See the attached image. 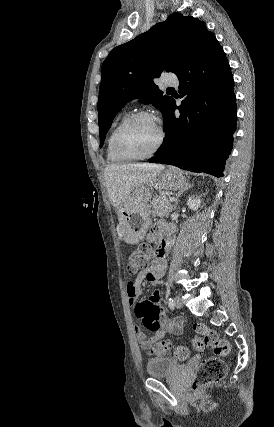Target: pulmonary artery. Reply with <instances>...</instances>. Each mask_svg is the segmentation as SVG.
Masks as SVG:
<instances>
[{
    "label": "pulmonary artery",
    "instance_id": "pulmonary-artery-1",
    "mask_svg": "<svg viewBox=\"0 0 274 427\" xmlns=\"http://www.w3.org/2000/svg\"><path fill=\"white\" fill-rule=\"evenodd\" d=\"M177 82V79L174 76H169L166 78V83L169 85H174Z\"/></svg>",
    "mask_w": 274,
    "mask_h": 427
}]
</instances>
